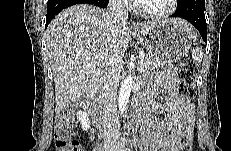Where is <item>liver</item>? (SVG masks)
<instances>
[{"label": "liver", "instance_id": "6515ba94", "mask_svg": "<svg viewBox=\"0 0 231 151\" xmlns=\"http://www.w3.org/2000/svg\"><path fill=\"white\" fill-rule=\"evenodd\" d=\"M171 21L188 34L193 31L185 20ZM46 33L56 114L99 88L108 66L113 61L121 65L130 37L126 22L115 23L106 10L91 4L66 8L50 22Z\"/></svg>", "mask_w": 231, "mask_h": 151}]
</instances>
